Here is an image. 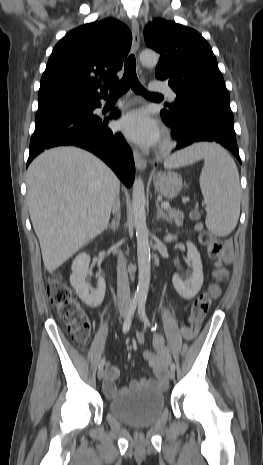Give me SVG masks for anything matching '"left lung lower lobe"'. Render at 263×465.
I'll return each mask as SVG.
<instances>
[{
  "label": "left lung lower lobe",
  "mask_w": 263,
  "mask_h": 465,
  "mask_svg": "<svg viewBox=\"0 0 263 465\" xmlns=\"http://www.w3.org/2000/svg\"><path fill=\"white\" fill-rule=\"evenodd\" d=\"M163 122L172 128L176 149L195 142H216L229 149L241 162L230 106L211 102L179 108L174 113L161 111Z\"/></svg>",
  "instance_id": "obj_1"
}]
</instances>
